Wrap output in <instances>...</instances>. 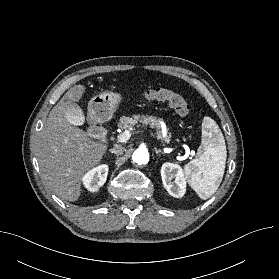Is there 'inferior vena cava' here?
I'll return each instance as SVG.
<instances>
[{"label": "inferior vena cava", "instance_id": "inferior-vena-cava-1", "mask_svg": "<svg viewBox=\"0 0 279 279\" xmlns=\"http://www.w3.org/2000/svg\"><path fill=\"white\" fill-rule=\"evenodd\" d=\"M110 152L116 155H121L124 152V148L116 145L114 148L110 149Z\"/></svg>", "mask_w": 279, "mask_h": 279}]
</instances>
